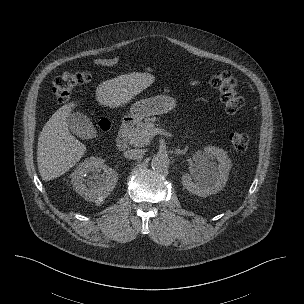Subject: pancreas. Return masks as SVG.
<instances>
[{
  "instance_id": "pancreas-1",
  "label": "pancreas",
  "mask_w": 304,
  "mask_h": 304,
  "mask_svg": "<svg viewBox=\"0 0 304 304\" xmlns=\"http://www.w3.org/2000/svg\"><path fill=\"white\" fill-rule=\"evenodd\" d=\"M157 119L147 118L144 122L140 121L137 123L136 128L131 129L127 133V140L131 145L136 147H143L150 143L152 137L148 135L150 130L155 128V121Z\"/></svg>"
}]
</instances>
